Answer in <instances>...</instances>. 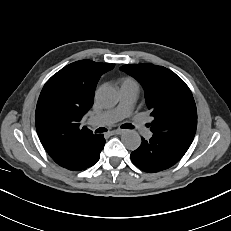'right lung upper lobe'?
<instances>
[{
    "label": "right lung upper lobe",
    "instance_id": "cb5924a9",
    "mask_svg": "<svg viewBox=\"0 0 231 231\" xmlns=\"http://www.w3.org/2000/svg\"><path fill=\"white\" fill-rule=\"evenodd\" d=\"M114 64L81 60L54 74L44 85L35 112L38 136L49 154L64 143L93 134L80 121L91 108L100 76Z\"/></svg>",
    "mask_w": 231,
    "mask_h": 231
}]
</instances>
